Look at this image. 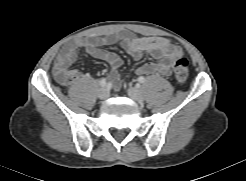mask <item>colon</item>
Segmentation results:
<instances>
[{
    "mask_svg": "<svg viewBox=\"0 0 246 181\" xmlns=\"http://www.w3.org/2000/svg\"><path fill=\"white\" fill-rule=\"evenodd\" d=\"M173 73L178 83L183 84L187 81L189 68L188 61L185 57H179L175 60L173 65ZM58 78L63 84H70L75 80L76 75L72 71H63L58 74Z\"/></svg>",
    "mask_w": 246,
    "mask_h": 181,
    "instance_id": "obj_1",
    "label": "colon"
}]
</instances>
